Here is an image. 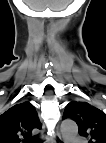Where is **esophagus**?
Wrapping results in <instances>:
<instances>
[{"mask_svg":"<svg viewBox=\"0 0 106 143\" xmlns=\"http://www.w3.org/2000/svg\"><path fill=\"white\" fill-rule=\"evenodd\" d=\"M47 139H48V141H50L52 143H62L63 142V139H62L59 131H57L54 135H51Z\"/></svg>","mask_w":106,"mask_h":143,"instance_id":"1","label":"esophagus"}]
</instances>
